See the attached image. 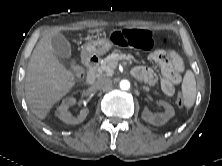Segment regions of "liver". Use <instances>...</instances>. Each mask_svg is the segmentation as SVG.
<instances>
[{
  "instance_id": "liver-1",
  "label": "liver",
  "mask_w": 222,
  "mask_h": 166,
  "mask_svg": "<svg viewBox=\"0 0 222 166\" xmlns=\"http://www.w3.org/2000/svg\"><path fill=\"white\" fill-rule=\"evenodd\" d=\"M63 28L55 27L44 34L35 46L25 77L28 106L39 119H45L54 104L68 94L75 84L70 72L60 63L51 44L53 36ZM93 29L89 32H98Z\"/></svg>"
}]
</instances>
